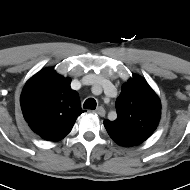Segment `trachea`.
<instances>
[{
  "label": "trachea",
  "instance_id": "obj_1",
  "mask_svg": "<svg viewBox=\"0 0 190 190\" xmlns=\"http://www.w3.org/2000/svg\"><path fill=\"white\" fill-rule=\"evenodd\" d=\"M83 107H84L85 109L95 110V108H96V101H95V99H93V98L87 99V100L84 102Z\"/></svg>",
  "mask_w": 190,
  "mask_h": 190
}]
</instances>
